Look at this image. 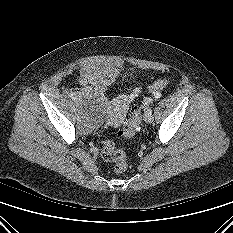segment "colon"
Here are the masks:
<instances>
[{"label": "colon", "instance_id": "1", "mask_svg": "<svg viewBox=\"0 0 233 233\" xmlns=\"http://www.w3.org/2000/svg\"><path fill=\"white\" fill-rule=\"evenodd\" d=\"M168 83L169 81L167 79H161L151 85L147 91L146 96L143 99L144 103H149L152 98L158 95L159 91H161L168 85ZM140 119L141 110L140 107L136 105L131 109L130 116L126 121L124 128L120 133V136L126 139L133 137L140 123ZM101 154L105 160L115 163L113 167L115 173L121 174L127 170L128 164L125 153L121 150L115 149L112 141H103Z\"/></svg>", "mask_w": 233, "mask_h": 233}]
</instances>
